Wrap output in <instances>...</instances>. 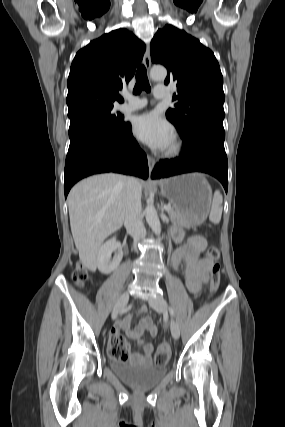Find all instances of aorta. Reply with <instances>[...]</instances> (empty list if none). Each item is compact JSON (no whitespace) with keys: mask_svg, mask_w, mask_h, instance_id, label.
<instances>
[{"mask_svg":"<svg viewBox=\"0 0 285 427\" xmlns=\"http://www.w3.org/2000/svg\"><path fill=\"white\" fill-rule=\"evenodd\" d=\"M167 76V70L163 66H154L150 71V77L153 81H163ZM145 216L146 221L151 227L152 231L160 236L161 234V224L157 214V211L154 207L152 201L147 202V206L145 208Z\"/></svg>","mask_w":285,"mask_h":427,"instance_id":"762f6f07","label":"aorta"}]
</instances>
